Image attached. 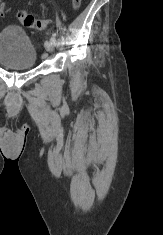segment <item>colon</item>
Returning a JSON list of instances; mask_svg holds the SVG:
<instances>
[{
  "instance_id": "5ec220e1",
  "label": "colon",
  "mask_w": 163,
  "mask_h": 235,
  "mask_svg": "<svg viewBox=\"0 0 163 235\" xmlns=\"http://www.w3.org/2000/svg\"><path fill=\"white\" fill-rule=\"evenodd\" d=\"M82 0H71V5L74 10H77L81 6ZM5 14V7L0 5V17ZM17 18L19 21L28 28L35 29H46L49 26L50 21L46 19H39L34 15L21 10L17 13Z\"/></svg>"
}]
</instances>
